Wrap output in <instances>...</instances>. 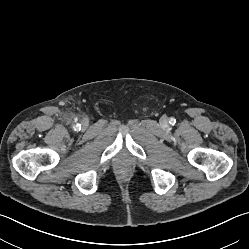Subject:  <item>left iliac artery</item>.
Here are the masks:
<instances>
[{
    "mask_svg": "<svg viewBox=\"0 0 249 249\" xmlns=\"http://www.w3.org/2000/svg\"><path fill=\"white\" fill-rule=\"evenodd\" d=\"M175 122L176 120L174 118H170V121H169L170 124H174Z\"/></svg>",
    "mask_w": 249,
    "mask_h": 249,
    "instance_id": "44dca946",
    "label": "left iliac artery"
}]
</instances>
